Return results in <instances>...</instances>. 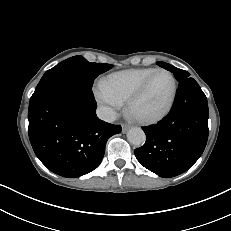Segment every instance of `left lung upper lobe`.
<instances>
[{
    "label": "left lung upper lobe",
    "instance_id": "5c2ea615",
    "mask_svg": "<svg viewBox=\"0 0 231 231\" xmlns=\"http://www.w3.org/2000/svg\"><path fill=\"white\" fill-rule=\"evenodd\" d=\"M157 64L171 72H173L175 78L177 79V81H182L186 78H189V73L185 70H182V69H179V68H176L168 63H165V62H157Z\"/></svg>",
    "mask_w": 231,
    "mask_h": 231
}]
</instances>
